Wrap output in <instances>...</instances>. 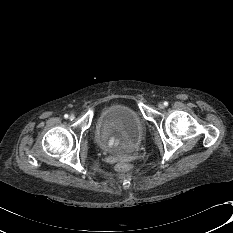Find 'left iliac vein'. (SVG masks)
I'll return each instance as SVG.
<instances>
[{
    "label": "left iliac vein",
    "instance_id": "left-iliac-vein-1",
    "mask_svg": "<svg viewBox=\"0 0 233 233\" xmlns=\"http://www.w3.org/2000/svg\"><path fill=\"white\" fill-rule=\"evenodd\" d=\"M158 107H159V109H163L164 108V104L163 103H159Z\"/></svg>",
    "mask_w": 233,
    "mask_h": 233
}]
</instances>
